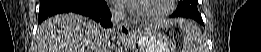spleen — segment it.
<instances>
[{
  "instance_id": "obj_1",
  "label": "spleen",
  "mask_w": 261,
  "mask_h": 52,
  "mask_svg": "<svg viewBox=\"0 0 261 52\" xmlns=\"http://www.w3.org/2000/svg\"><path fill=\"white\" fill-rule=\"evenodd\" d=\"M180 27L185 33V50L187 52H196L201 44L198 28L189 21H181Z\"/></svg>"
}]
</instances>
